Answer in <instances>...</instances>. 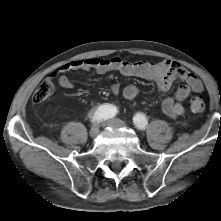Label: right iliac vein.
<instances>
[{"label": "right iliac vein", "instance_id": "right-iliac-vein-1", "mask_svg": "<svg viewBox=\"0 0 221 221\" xmlns=\"http://www.w3.org/2000/svg\"><path fill=\"white\" fill-rule=\"evenodd\" d=\"M99 128H100V125L99 124H94L90 131H89V135L92 137V138H95L98 134H99Z\"/></svg>", "mask_w": 221, "mask_h": 221}]
</instances>
